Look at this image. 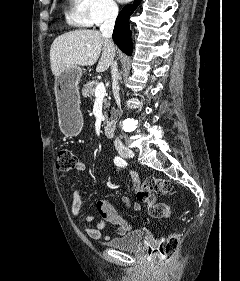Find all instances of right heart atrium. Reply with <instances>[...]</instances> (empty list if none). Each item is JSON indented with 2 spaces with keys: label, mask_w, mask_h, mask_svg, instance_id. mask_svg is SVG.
Masks as SVG:
<instances>
[{
  "label": "right heart atrium",
  "mask_w": 240,
  "mask_h": 281,
  "mask_svg": "<svg viewBox=\"0 0 240 281\" xmlns=\"http://www.w3.org/2000/svg\"><path fill=\"white\" fill-rule=\"evenodd\" d=\"M89 15L94 25L115 19L119 13L118 5L114 0H88Z\"/></svg>",
  "instance_id": "obj_1"
}]
</instances>
